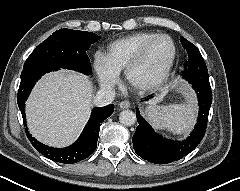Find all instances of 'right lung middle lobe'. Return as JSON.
I'll use <instances>...</instances> for the list:
<instances>
[{
	"label": "right lung middle lobe",
	"mask_w": 240,
	"mask_h": 191,
	"mask_svg": "<svg viewBox=\"0 0 240 191\" xmlns=\"http://www.w3.org/2000/svg\"><path fill=\"white\" fill-rule=\"evenodd\" d=\"M98 39L100 37L92 32L60 29L34 49L22 72L54 67L73 69L89 75L92 68L86 51Z\"/></svg>",
	"instance_id": "right-lung-middle-lobe-1"
}]
</instances>
